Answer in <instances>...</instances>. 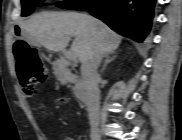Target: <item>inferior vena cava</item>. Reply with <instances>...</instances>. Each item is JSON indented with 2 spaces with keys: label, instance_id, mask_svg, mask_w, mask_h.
I'll return each mask as SVG.
<instances>
[{
  "label": "inferior vena cava",
  "instance_id": "obj_1",
  "mask_svg": "<svg viewBox=\"0 0 182 140\" xmlns=\"http://www.w3.org/2000/svg\"><path fill=\"white\" fill-rule=\"evenodd\" d=\"M103 53L95 50L88 60L82 62L81 74L83 78L85 102L92 131L99 120V75L97 72Z\"/></svg>",
  "mask_w": 182,
  "mask_h": 140
}]
</instances>
